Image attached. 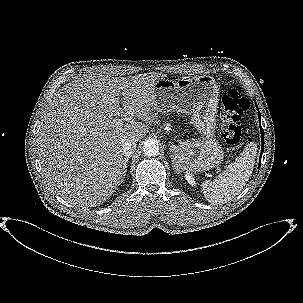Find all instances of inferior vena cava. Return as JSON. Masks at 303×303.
<instances>
[{"label":"inferior vena cava","instance_id":"inferior-vena-cava-1","mask_svg":"<svg viewBox=\"0 0 303 303\" xmlns=\"http://www.w3.org/2000/svg\"><path fill=\"white\" fill-rule=\"evenodd\" d=\"M121 149L125 157L131 156L136 149V143L129 138L121 140Z\"/></svg>","mask_w":303,"mask_h":303}]
</instances>
